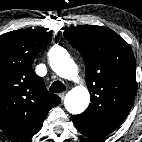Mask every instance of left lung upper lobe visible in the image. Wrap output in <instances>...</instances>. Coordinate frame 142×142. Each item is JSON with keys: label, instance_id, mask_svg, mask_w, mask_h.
I'll return each instance as SVG.
<instances>
[{"label": "left lung upper lobe", "instance_id": "1", "mask_svg": "<svg viewBox=\"0 0 142 142\" xmlns=\"http://www.w3.org/2000/svg\"><path fill=\"white\" fill-rule=\"evenodd\" d=\"M86 66L91 103L73 123L102 138L116 130L128 115L136 94V62L131 47L107 27L83 25L64 31Z\"/></svg>", "mask_w": 142, "mask_h": 142}]
</instances>
